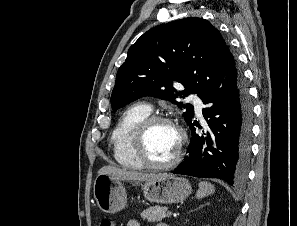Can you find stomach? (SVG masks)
<instances>
[{
  "mask_svg": "<svg viewBox=\"0 0 297 226\" xmlns=\"http://www.w3.org/2000/svg\"><path fill=\"white\" fill-rule=\"evenodd\" d=\"M136 185L143 191L145 199L152 203H177L186 199L192 191L187 179L171 174ZM93 192L98 207L105 213L121 211L127 204L124 183L111 175H98Z\"/></svg>",
  "mask_w": 297,
  "mask_h": 226,
  "instance_id": "stomach-1",
  "label": "stomach"
}]
</instances>
